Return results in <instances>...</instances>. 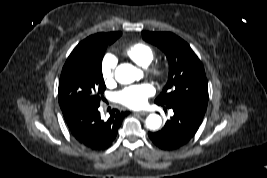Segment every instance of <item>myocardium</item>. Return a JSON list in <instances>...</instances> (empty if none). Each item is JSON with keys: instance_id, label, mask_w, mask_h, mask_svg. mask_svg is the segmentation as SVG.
I'll return each instance as SVG.
<instances>
[{"instance_id": "1", "label": "myocardium", "mask_w": 267, "mask_h": 178, "mask_svg": "<svg viewBox=\"0 0 267 178\" xmlns=\"http://www.w3.org/2000/svg\"><path fill=\"white\" fill-rule=\"evenodd\" d=\"M147 69L150 72V74L157 79H161L166 72L165 66L159 62H151L147 66Z\"/></svg>"}]
</instances>
